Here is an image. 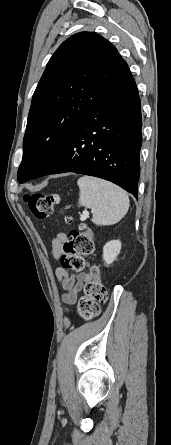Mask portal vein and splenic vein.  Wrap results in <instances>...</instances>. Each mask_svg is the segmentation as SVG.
Segmentation results:
<instances>
[{
    "label": "portal vein and splenic vein",
    "mask_w": 171,
    "mask_h": 445,
    "mask_svg": "<svg viewBox=\"0 0 171 445\" xmlns=\"http://www.w3.org/2000/svg\"><path fill=\"white\" fill-rule=\"evenodd\" d=\"M84 215H85V216H88V215H89V213H88L87 211H85V212H84Z\"/></svg>",
    "instance_id": "1"
}]
</instances>
